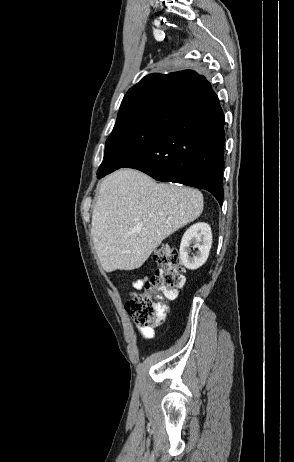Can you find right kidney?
Returning a JSON list of instances; mask_svg holds the SVG:
<instances>
[{"label":"right kidney","mask_w":294,"mask_h":462,"mask_svg":"<svg viewBox=\"0 0 294 462\" xmlns=\"http://www.w3.org/2000/svg\"><path fill=\"white\" fill-rule=\"evenodd\" d=\"M198 251L190 256V245ZM212 245V232L209 224L199 222L190 226L184 233L180 244V259L182 264L189 270L201 267L209 256Z\"/></svg>","instance_id":"obj_1"}]
</instances>
